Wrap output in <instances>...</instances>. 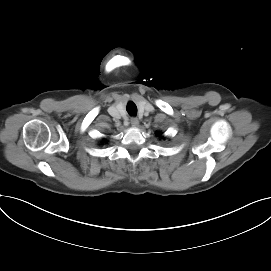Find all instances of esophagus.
I'll return each instance as SVG.
<instances>
[{"instance_id": "esophagus-1", "label": "esophagus", "mask_w": 271, "mask_h": 271, "mask_svg": "<svg viewBox=\"0 0 271 271\" xmlns=\"http://www.w3.org/2000/svg\"><path fill=\"white\" fill-rule=\"evenodd\" d=\"M130 122H131V125L133 127H137L138 124H139V121H138V119L136 117H132L131 120H130Z\"/></svg>"}]
</instances>
